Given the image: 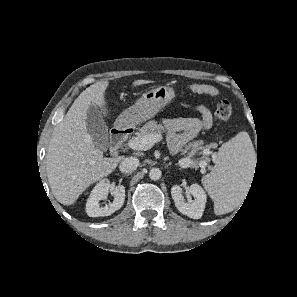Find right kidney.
Instances as JSON below:
<instances>
[{"mask_svg":"<svg viewBox=\"0 0 297 297\" xmlns=\"http://www.w3.org/2000/svg\"><path fill=\"white\" fill-rule=\"evenodd\" d=\"M109 192L112 196H114L113 203L100 207L99 201L102 200ZM124 200L125 187L123 185L112 187L108 179H103L96 184L87 199L86 213L90 217L109 216L123 206Z\"/></svg>","mask_w":297,"mask_h":297,"instance_id":"obj_1","label":"right kidney"}]
</instances>
